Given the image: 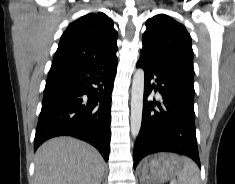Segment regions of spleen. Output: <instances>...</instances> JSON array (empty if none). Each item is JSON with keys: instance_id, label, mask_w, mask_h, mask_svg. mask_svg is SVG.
Here are the masks:
<instances>
[{"instance_id": "3e777b00", "label": "spleen", "mask_w": 235, "mask_h": 184, "mask_svg": "<svg viewBox=\"0 0 235 184\" xmlns=\"http://www.w3.org/2000/svg\"><path fill=\"white\" fill-rule=\"evenodd\" d=\"M183 168L177 176L176 184H200L199 168L190 158L182 156Z\"/></svg>"}]
</instances>
